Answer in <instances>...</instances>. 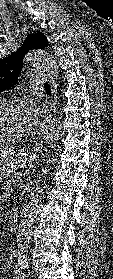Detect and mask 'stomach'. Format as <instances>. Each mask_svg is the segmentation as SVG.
Segmentation results:
<instances>
[{"instance_id": "stomach-1", "label": "stomach", "mask_w": 113, "mask_h": 279, "mask_svg": "<svg viewBox=\"0 0 113 279\" xmlns=\"http://www.w3.org/2000/svg\"><path fill=\"white\" fill-rule=\"evenodd\" d=\"M38 156L34 153L20 151L12 156H3L0 152V182L12 175L20 167H33Z\"/></svg>"}]
</instances>
